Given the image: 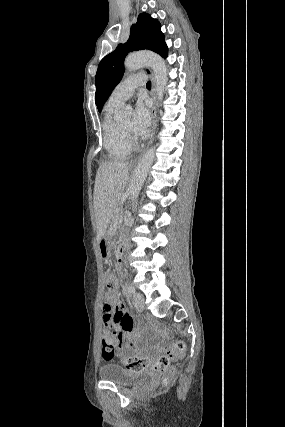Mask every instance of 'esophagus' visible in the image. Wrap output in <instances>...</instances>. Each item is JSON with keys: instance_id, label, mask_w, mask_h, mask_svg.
Wrapping results in <instances>:
<instances>
[{"instance_id": "obj_1", "label": "esophagus", "mask_w": 285, "mask_h": 427, "mask_svg": "<svg viewBox=\"0 0 285 427\" xmlns=\"http://www.w3.org/2000/svg\"><path fill=\"white\" fill-rule=\"evenodd\" d=\"M151 79H152V98H153V107H152V130H151V136L149 139V142L147 144L148 148L150 146V144L152 143L154 134H155V129H156V98H155V80H154V75L151 73ZM139 157L132 160L131 161V165H136V163L138 162Z\"/></svg>"}]
</instances>
